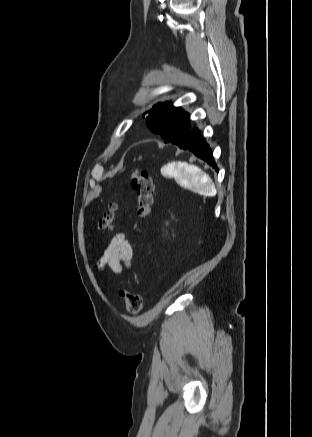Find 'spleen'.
<instances>
[{"label":"spleen","instance_id":"obj_1","mask_svg":"<svg viewBox=\"0 0 312 437\" xmlns=\"http://www.w3.org/2000/svg\"><path fill=\"white\" fill-rule=\"evenodd\" d=\"M164 170L169 175H174L189 188L202 195L214 196L216 188L210 176L203 172L198 166L184 162L168 164Z\"/></svg>","mask_w":312,"mask_h":437}]
</instances>
